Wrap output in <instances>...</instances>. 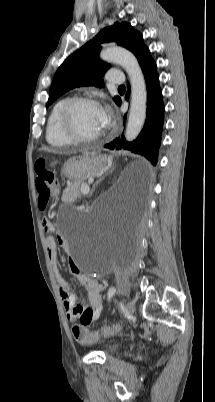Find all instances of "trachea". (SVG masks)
Wrapping results in <instances>:
<instances>
[{
	"instance_id": "1",
	"label": "trachea",
	"mask_w": 215,
	"mask_h": 402,
	"mask_svg": "<svg viewBox=\"0 0 215 402\" xmlns=\"http://www.w3.org/2000/svg\"><path fill=\"white\" fill-rule=\"evenodd\" d=\"M119 88L121 89V88H125V86L124 85H121V86H119Z\"/></svg>"
}]
</instances>
